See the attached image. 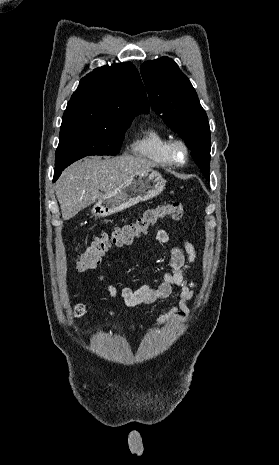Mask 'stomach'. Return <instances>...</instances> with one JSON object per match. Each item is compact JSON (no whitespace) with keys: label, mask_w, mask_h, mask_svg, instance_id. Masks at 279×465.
<instances>
[{"label":"stomach","mask_w":279,"mask_h":465,"mask_svg":"<svg viewBox=\"0 0 279 465\" xmlns=\"http://www.w3.org/2000/svg\"><path fill=\"white\" fill-rule=\"evenodd\" d=\"M165 183L160 173L153 170L141 171L98 200L92 214L96 217H106L154 198L164 190Z\"/></svg>","instance_id":"0dacf381"}]
</instances>
